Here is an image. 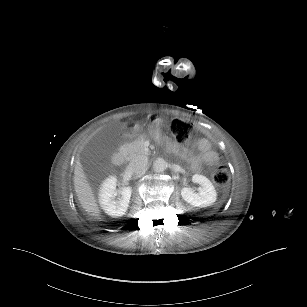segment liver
Returning <instances> with one entry per match:
<instances>
[{
    "label": "liver",
    "mask_w": 307,
    "mask_h": 307,
    "mask_svg": "<svg viewBox=\"0 0 307 307\" xmlns=\"http://www.w3.org/2000/svg\"><path fill=\"white\" fill-rule=\"evenodd\" d=\"M74 188L82 208L89 215L98 218L100 216V209L79 160L76 162L74 169Z\"/></svg>",
    "instance_id": "6515ba94"
}]
</instances>
